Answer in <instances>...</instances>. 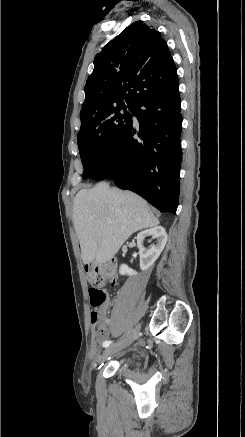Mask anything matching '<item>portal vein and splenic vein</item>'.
<instances>
[{
    "label": "portal vein and splenic vein",
    "mask_w": 245,
    "mask_h": 437,
    "mask_svg": "<svg viewBox=\"0 0 245 437\" xmlns=\"http://www.w3.org/2000/svg\"><path fill=\"white\" fill-rule=\"evenodd\" d=\"M107 223H111V220H110V219H107Z\"/></svg>",
    "instance_id": "18ae733b"
}]
</instances>
